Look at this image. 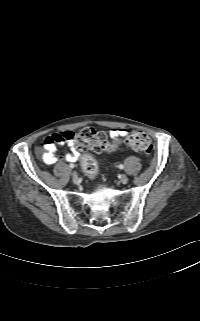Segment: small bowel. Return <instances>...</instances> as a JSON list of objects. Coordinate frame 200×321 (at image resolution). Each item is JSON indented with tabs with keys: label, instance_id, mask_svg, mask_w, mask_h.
I'll return each mask as SVG.
<instances>
[{
	"label": "small bowel",
	"instance_id": "obj_1",
	"mask_svg": "<svg viewBox=\"0 0 200 321\" xmlns=\"http://www.w3.org/2000/svg\"><path fill=\"white\" fill-rule=\"evenodd\" d=\"M71 131H61L55 132L49 135L43 145L42 159L48 164L52 165L58 161L56 156L57 145H67L69 147V151L66 152L63 156L64 160L68 162H75L80 157L79 148L76 145L75 140L71 137ZM127 135V130L124 128H115L109 132V138L115 144H119L120 140Z\"/></svg>",
	"mask_w": 200,
	"mask_h": 321
}]
</instances>
